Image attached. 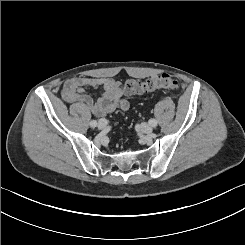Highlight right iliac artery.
I'll return each instance as SVG.
<instances>
[{"instance_id": "obj_1", "label": "right iliac artery", "mask_w": 245, "mask_h": 245, "mask_svg": "<svg viewBox=\"0 0 245 245\" xmlns=\"http://www.w3.org/2000/svg\"><path fill=\"white\" fill-rule=\"evenodd\" d=\"M90 126L93 127V128H95V127L97 126V121L92 120V121L90 122Z\"/></svg>"}]
</instances>
